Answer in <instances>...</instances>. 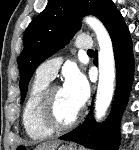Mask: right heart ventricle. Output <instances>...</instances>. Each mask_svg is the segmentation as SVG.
Listing matches in <instances>:
<instances>
[{
  "label": "right heart ventricle",
  "mask_w": 139,
  "mask_h": 150,
  "mask_svg": "<svg viewBox=\"0 0 139 150\" xmlns=\"http://www.w3.org/2000/svg\"><path fill=\"white\" fill-rule=\"evenodd\" d=\"M50 80L36 76L28 93L22 113V122L27 135L34 140H42L52 135L40 122L38 109L40 100Z\"/></svg>",
  "instance_id": "1"
}]
</instances>
